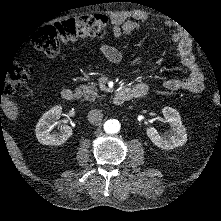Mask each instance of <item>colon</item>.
<instances>
[{
    "label": "colon",
    "instance_id": "colon-1",
    "mask_svg": "<svg viewBox=\"0 0 221 221\" xmlns=\"http://www.w3.org/2000/svg\"><path fill=\"white\" fill-rule=\"evenodd\" d=\"M108 26L109 20L102 14L71 18L37 29L32 36V45L46 56L54 58L61 45H68L77 39H102ZM32 72L27 65H13L3 82L4 94H13L30 79Z\"/></svg>",
    "mask_w": 221,
    "mask_h": 221
}]
</instances>
